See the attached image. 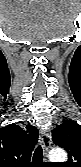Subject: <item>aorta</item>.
<instances>
[{"instance_id":"762f6f07","label":"aorta","mask_w":81,"mask_h":167,"mask_svg":"<svg viewBox=\"0 0 81 167\" xmlns=\"http://www.w3.org/2000/svg\"><path fill=\"white\" fill-rule=\"evenodd\" d=\"M52 162H65L67 160L66 152L61 148L52 149L49 153Z\"/></svg>"}]
</instances>
